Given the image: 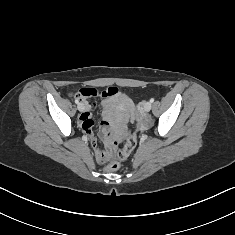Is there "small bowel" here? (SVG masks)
<instances>
[{
  "label": "small bowel",
  "instance_id": "1",
  "mask_svg": "<svg viewBox=\"0 0 235 235\" xmlns=\"http://www.w3.org/2000/svg\"><path fill=\"white\" fill-rule=\"evenodd\" d=\"M95 88H84L79 92V98L83 101L84 110L79 117L80 126L86 131L92 144H95V137L93 130L95 128V122L92 119V110L95 104H91L86 101L88 97L99 96H87L86 92L88 90ZM102 102V113L99 119V126L102 132L106 133L108 131L116 130L119 128V124L122 120H126L130 117L132 111V100L131 98L113 88V94L105 97Z\"/></svg>",
  "mask_w": 235,
  "mask_h": 235
}]
</instances>
